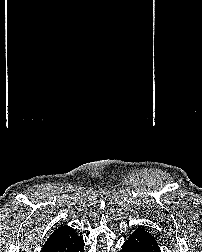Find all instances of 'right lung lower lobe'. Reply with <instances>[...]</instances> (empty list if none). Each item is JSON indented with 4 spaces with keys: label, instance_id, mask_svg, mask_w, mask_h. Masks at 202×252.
<instances>
[{
    "label": "right lung lower lobe",
    "instance_id": "98d812e1",
    "mask_svg": "<svg viewBox=\"0 0 202 252\" xmlns=\"http://www.w3.org/2000/svg\"><path fill=\"white\" fill-rule=\"evenodd\" d=\"M75 252H84V242L78 247L77 250H75Z\"/></svg>",
    "mask_w": 202,
    "mask_h": 252
}]
</instances>
